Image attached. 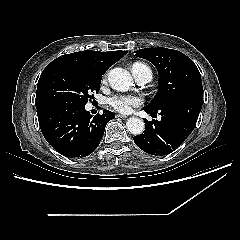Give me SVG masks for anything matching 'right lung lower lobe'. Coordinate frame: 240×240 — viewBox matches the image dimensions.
Masks as SVG:
<instances>
[{
  "instance_id": "1",
  "label": "right lung lower lobe",
  "mask_w": 240,
  "mask_h": 240,
  "mask_svg": "<svg viewBox=\"0 0 240 240\" xmlns=\"http://www.w3.org/2000/svg\"><path fill=\"white\" fill-rule=\"evenodd\" d=\"M46 141L60 154L73 158L90 155L99 145L106 124L115 116L104 110L93 118L85 106L58 103L37 109Z\"/></svg>"
}]
</instances>
